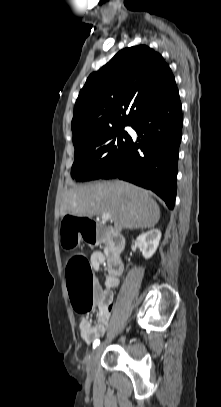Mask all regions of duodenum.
I'll list each match as a JSON object with an SVG mask.
<instances>
[{"mask_svg":"<svg viewBox=\"0 0 221 407\" xmlns=\"http://www.w3.org/2000/svg\"><path fill=\"white\" fill-rule=\"evenodd\" d=\"M110 254L108 256V270L113 275H120L123 272V261L121 253L124 249V239L114 229L109 228Z\"/></svg>","mask_w":221,"mask_h":407,"instance_id":"1","label":"duodenum"}]
</instances>
